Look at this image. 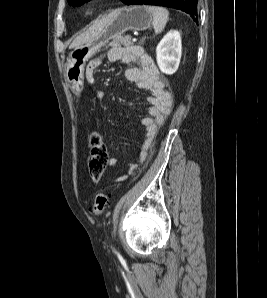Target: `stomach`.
Wrapping results in <instances>:
<instances>
[{"label": "stomach", "mask_w": 267, "mask_h": 298, "mask_svg": "<svg viewBox=\"0 0 267 298\" xmlns=\"http://www.w3.org/2000/svg\"><path fill=\"white\" fill-rule=\"evenodd\" d=\"M112 19L105 29L96 37L75 47L66 63V79L72 91L79 95L83 90V77L86 62L111 39L122 33L144 31L151 26L152 14L145 6H129L114 10Z\"/></svg>", "instance_id": "1"}]
</instances>
